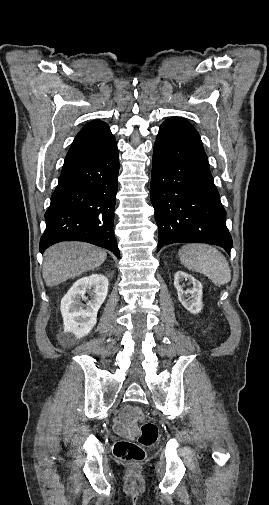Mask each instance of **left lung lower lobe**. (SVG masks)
<instances>
[{
	"label": "left lung lower lobe",
	"mask_w": 269,
	"mask_h": 505,
	"mask_svg": "<svg viewBox=\"0 0 269 505\" xmlns=\"http://www.w3.org/2000/svg\"><path fill=\"white\" fill-rule=\"evenodd\" d=\"M150 198L158 251L172 243H208L228 254L232 238L198 132L186 120L163 122L156 138Z\"/></svg>",
	"instance_id": "left-lung-lower-lobe-1"
}]
</instances>
